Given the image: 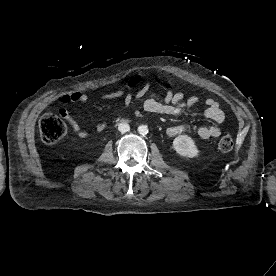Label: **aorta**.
I'll return each instance as SVG.
<instances>
[{"instance_id":"1","label":"aorta","mask_w":276,"mask_h":276,"mask_svg":"<svg viewBox=\"0 0 276 276\" xmlns=\"http://www.w3.org/2000/svg\"><path fill=\"white\" fill-rule=\"evenodd\" d=\"M138 132L141 135H146L148 133V127L146 125H140L138 127Z\"/></svg>"}]
</instances>
